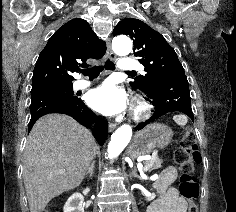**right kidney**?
<instances>
[{"label":"right kidney","mask_w":236,"mask_h":212,"mask_svg":"<svg viewBox=\"0 0 236 212\" xmlns=\"http://www.w3.org/2000/svg\"><path fill=\"white\" fill-rule=\"evenodd\" d=\"M90 189L86 188L83 190V194L87 195ZM84 201V197L81 193H74L71 195L66 201L63 212H84V208L82 207Z\"/></svg>","instance_id":"obj_1"}]
</instances>
